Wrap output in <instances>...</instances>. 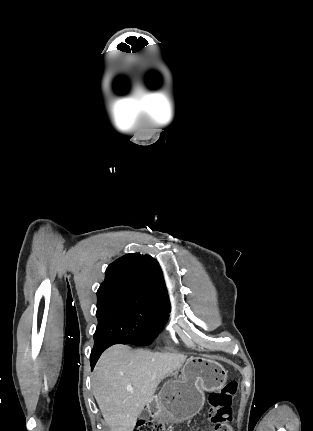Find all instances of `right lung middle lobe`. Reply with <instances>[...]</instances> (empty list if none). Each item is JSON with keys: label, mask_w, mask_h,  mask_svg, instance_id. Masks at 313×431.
<instances>
[{"label": "right lung middle lobe", "mask_w": 313, "mask_h": 431, "mask_svg": "<svg viewBox=\"0 0 313 431\" xmlns=\"http://www.w3.org/2000/svg\"><path fill=\"white\" fill-rule=\"evenodd\" d=\"M98 326L94 344L118 341L122 344L150 345L167 320L170 308L126 295L108 293L97 296Z\"/></svg>", "instance_id": "right-lung-middle-lobe-1"}]
</instances>
